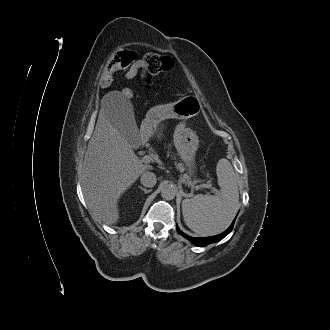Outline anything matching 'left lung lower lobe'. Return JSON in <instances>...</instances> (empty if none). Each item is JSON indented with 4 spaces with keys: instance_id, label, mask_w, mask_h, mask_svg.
Wrapping results in <instances>:
<instances>
[{
    "instance_id": "0a47b994",
    "label": "left lung lower lobe",
    "mask_w": 330,
    "mask_h": 330,
    "mask_svg": "<svg viewBox=\"0 0 330 330\" xmlns=\"http://www.w3.org/2000/svg\"><path fill=\"white\" fill-rule=\"evenodd\" d=\"M234 222H235V219L233 220L232 224L230 225V227L224 231L223 233L221 234H218V235H215V236H210V237H200V238H193V237H190L186 234H184L177 226V230L179 232V234H181L183 237L187 238L189 241H191L193 244L199 246V247H203V246H207L211 243H214V242H217V241H220L222 240L225 236H227L233 229V226H234Z\"/></svg>"
}]
</instances>
